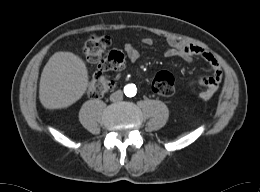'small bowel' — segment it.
Wrapping results in <instances>:
<instances>
[{"label": "small bowel", "mask_w": 260, "mask_h": 192, "mask_svg": "<svg viewBox=\"0 0 260 192\" xmlns=\"http://www.w3.org/2000/svg\"><path fill=\"white\" fill-rule=\"evenodd\" d=\"M142 43L146 46H153L155 44V39L145 37L142 39ZM166 45L167 47L164 51V56L167 58L179 57L186 62H192L196 57H199L210 65L212 74L208 77L191 81L190 86L197 85L202 87L199 92V97L201 99L206 100L211 98L217 91L223 78L221 65L214 55L198 45L178 41L173 38L167 39ZM123 49L129 61L136 62L140 58L139 50L133 44L127 43L123 46Z\"/></svg>", "instance_id": "c3829d8e"}]
</instances>
